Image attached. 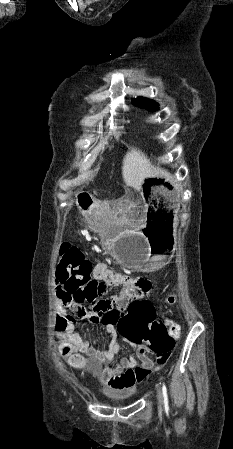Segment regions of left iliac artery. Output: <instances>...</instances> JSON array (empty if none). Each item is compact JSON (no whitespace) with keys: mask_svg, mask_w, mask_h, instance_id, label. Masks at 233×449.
Wrapping results in <instances>:
<instances>
[{"mask_svg":"<svg viewBox=\"0 0 233 449\" xmlns=\"http://www.w3.org/2000/svg\"><path fill=\"white\" fill-rule=\"evenodd\" d=\"M162 391H163V397H164V404H165V407H168V395H167V388H166V385L165 384H163V387H162Z\"/></svg>","mask_w":233,"mask_h":449,"instance_id":"obj_1","label":"left iliac artery"}]
</instances>
